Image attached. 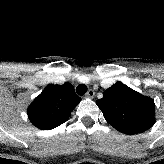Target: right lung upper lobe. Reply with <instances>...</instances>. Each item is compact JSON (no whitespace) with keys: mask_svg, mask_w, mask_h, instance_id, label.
Returning <instances> with one entry per match:
<instances>
[{"mask_svg":"<svg viewBox=\"0 0 164 164\" xmlns=\"http://www.w3.org/2000/svg\"><path fill=\"white\" fill-rule=\"evenodd\" d=\"M80 100L69 82L50 84L28 107L29 119L39 129H53L69 119Z\"/></svg>","mask_w":164,"mask_h":164,"instance_id":"obj_1","label":"right lung upper lobe"}]
</instances>
